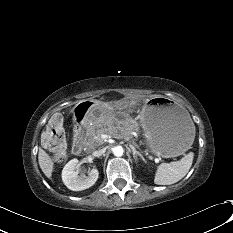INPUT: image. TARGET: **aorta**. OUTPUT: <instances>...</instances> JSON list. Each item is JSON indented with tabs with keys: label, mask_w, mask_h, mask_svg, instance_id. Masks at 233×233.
Here are the masks:
<instances>
[{
	"label": "aorta",
	"mask_w": 233,
	"mask_h": 233,
	"mask_svg": "<svg viewBox=\"0 0 233 233\" xmlns=\"http://www.w3.org/2000/svg\"><path fill=\"white\" fill-rule=\"evenodd\" d=\"M112 152L115 156L117 157H120L123 155L124 153V149L122 146H115L113 149H112Z\"/></svg>",
	"instance_id": "1"
}]
</instances>
